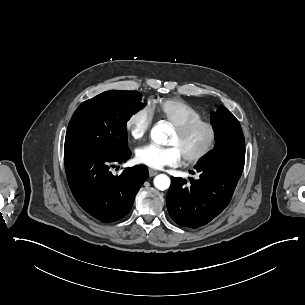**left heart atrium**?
Wrapping results in <instances>:
<instances>
[{"label":"left heart atrium","mask_w":305,"mask_h":305,"mask_svg":"<svg viewBox=\"0 0 305 305\" xmlns=\"http://www.w3.org/2000/svg\"><path fill=\"white\" fill-rule=\"evenodd\" d=\"M135 157L139 163L151 168H161L165 165L179 163L182 155L175 145L161 146L148 143L136 149Z\"/></svg>","instance_id":"1"}]
</instances>
